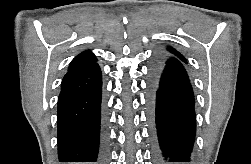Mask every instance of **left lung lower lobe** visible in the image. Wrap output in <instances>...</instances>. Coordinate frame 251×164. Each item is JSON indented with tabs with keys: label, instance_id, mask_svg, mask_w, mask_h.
<instances>
[{
	"label": "left lung lower lobe",
	"instance_id": "obj_1",
	"mask_svg": "<svg viewBox=\"0 0 251 164\" xmlns=\"http://www.w3.org/2000/svg\"><path fill=\"white\" fill-rule=\"evenodd\" d=\"M183 61L159 55L148 80V115L157 163L192 160L196 134L194 94Z\"/></svg>",
	"mask_w": 251,
	"mask_h": 164
}]
</instances>
